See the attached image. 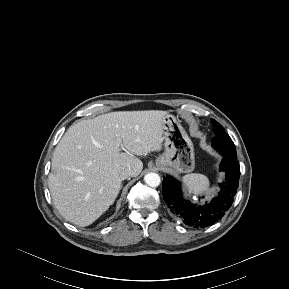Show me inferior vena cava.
<instances>
[{"label": "inferior vena cava", "mask_w": 289, "mask_h": 289, "mask_svg": "<svg viewBox=\"0 0 289 289\" xmlns=\"http://www.w3.org/2000/svg\"><path fill=\"white\" fill-rule=\"evenodd\" d=\"M119 176L122 180H125L132 176V170L130 168H126L119 173Z\"/></svg>", "instance_id": "inferior-vena-cava-1"}]
</instances>
